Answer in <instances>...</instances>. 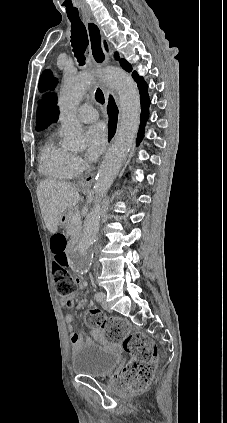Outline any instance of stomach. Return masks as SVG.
<instances>
[{"label":"stomach","instance_id":"stomach-1","mask_svg":"<svg viewBox=\"0 0 227 423\" xmlns=\"http://www.w3.org/2000/svg\"><path fill=\"white\" fill-rule=\"evenodd\" d=\"M92 182V180H91ZM79 188H81V190H88V188H83V186H81L80 182H79Z\"/></svg>","mask_w":227,"mask_h":423}]
</instances>
